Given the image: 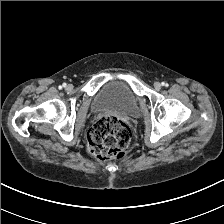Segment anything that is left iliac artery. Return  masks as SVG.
<instances>
[{"label":"left iliac artery","instance_id":"44dca946","mask_svg":"<svg viewBox=\"0 0 224 224\" xmlns=\"http://www.w3.org/2000/svg\"><path fill=\"white\" fill-rule=\"evenodd\" d=\"M162 85H163V86H166V87L168 86V84L165 83V82H162Z\"/></svg>","mask_w":224,"mask_h":224}]
</instances>
